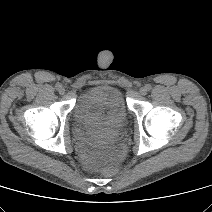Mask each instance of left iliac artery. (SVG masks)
<instances>
[{
    "label": "left iliac artery",
    "mask_w": 212,
    "mask_h": 212,
    "mask_svg": "<svg viewBox=\"0 0 212 212\" xmlns=\"http://www.w3.org/2000/svg\"><path fill=\"white\" fill-rule=\"evenodd\" d=\"M145 87H146V89H147L148 91H150L151 88H152L150 84H147Z\"/></svg>",
    "instance_id": "1"
}]
</instances>
